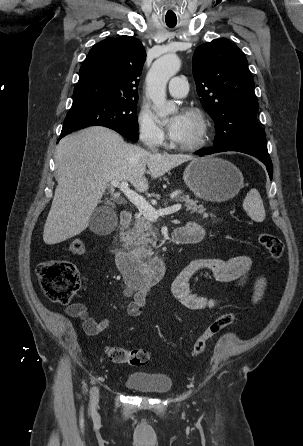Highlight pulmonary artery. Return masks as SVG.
<instances>
[{
	"mask_svg": "<svg viewBox=\"0 0 303 446\" xmlns=\"http://www.w3.org/2000/svg\"><path fill=\"white\" fill-rule=\"evenodd\" d=\"M188 85L183 77H173L168 85V93L173 98H182L187 94Z\"/></svg>",
	"mask_w": 303,
	"mask_h": 446,
	"instance_id": "obj_1",
	"label": "pulmonary artery"
}]
</instances>
